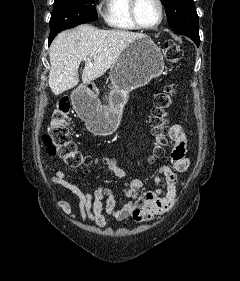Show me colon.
<instances>
[{"mask_svg": "<svg viewBox=\"0 0 240 281\" xmlns=\"http://www.w3.org/2000/svg\"><path fill=\"white\" fill-rule=\"evenodd\" d=\"M165 57L171 64H176L182 56L179 43L168 40L164 46ZM174 86L169 84L164 90L156 94L152 109L151 125L155 136V146L150 159L154 160L164 155V145L169 128L166 125L167 110L172 104ZM70 101L63 97L58 102L52 116L49 128L43 136L46 152L57 156L71 168L89 167L98 162L90 155L84 154L71 138L70 130Z\"/></svg>", "mask_w": 240, "mask_h": 281, "instance_id": "obj_1", "label": "colon"}]
</instances>
